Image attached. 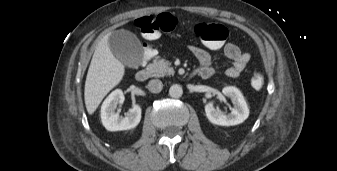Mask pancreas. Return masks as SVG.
<instances>
[{
    "mask_svg": "<svg viewBox=\"0 0 337 171\" xmlns=\"http://www.w3.org/2000/svg\"><path fill=\"white\" fill-rule=\"evenodd\" d=\"M148 67L153 73V76L156 77L174 74L173 68L170 67V62L164 59L154 60Z\"/></svg>",
    "mask_w": 337,
    "mask_h": 171,
    "instance_id": "1",
    "label": "pancreas"
}]
</instances>
